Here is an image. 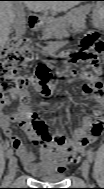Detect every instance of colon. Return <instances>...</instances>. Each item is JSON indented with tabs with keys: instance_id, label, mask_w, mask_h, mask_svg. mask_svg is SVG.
<instances>
[{
	"instance_id": "colon-1",
	"label": "colon",
	"mask_w": 104,
	"mask_h": 189,
	"mask_svg": "<svg viewBox=\"0 0 104 189\" xmlns=\"http://www.w3.org/2000/svg\"><path fill=\"white\" fill-rule=\"evenodd\" d=\"M104 49V43L94 31L87 32L81 42V51L74 55L76 60L89 62L99 68V55ZM34 51L29 42L22 37H11L3 49L0 65V93L3 97L19 93L31 85L38 87L42 95L51 93L52 69L48 64L38 65L33 75L22 74V71L34 59ZM34 130L42 139L50 138L47 124L43 120H35Z\"/></svg>"
}]
</instances>
